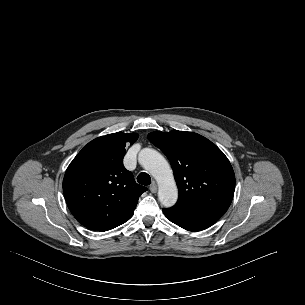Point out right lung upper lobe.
<instances>
[{"instance_id":"cb5924a9","label":"right lung upper lobe","mask_w":305,"mask_h":305,"mask_svg":"<svg viewBox=\"0 0 305 305\" xmlns=\"http://www.w3.org/2000/svg\"><path fill=\"white\" fill-rule=\"evenodd\" d=\"M138 134L121 132L89 142L68 166L63 179L66 203L83 226L108 231L134 213L139 196L147 190L125 169L126 147Z\"/></svg>"}]
</instances>
